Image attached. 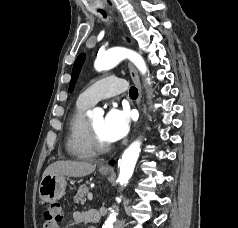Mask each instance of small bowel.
Here are the masks:
<instances>
[{
    "mask_svg": "<svg viewBox=\"0 0 238 228\" xmlns=\"http://www.w3.org/2000/svg\"><path fill=\"white\" fill-rule=\"evenodd\" d=\"M74 221L76 222H84L87 221L86 217H85V213H75L73 215ZM43 228H60L59 223H51V224H47L44 225Z\"/></svg>",
    "mask_w": 238,
    "mask_h": 228,
    "instance_id": "obj_1",
    "label": "small bowel"
}]
</instances>
